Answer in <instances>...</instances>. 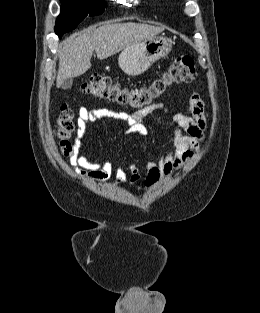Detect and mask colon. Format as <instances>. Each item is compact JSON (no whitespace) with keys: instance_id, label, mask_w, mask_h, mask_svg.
Here are the masks:
<instances>
[{"instance_id":"1","label":"colon","mask_w":260,"mask_h":313,"mask_svg":"<svg viewBox=\"0 0 260 313\" xmlns=\"http://www.w3.org/2000/svg\"><path fill=\"white\" fill-rule=\"evenodd\" d=\"M197 76L194 61L190 56L174 58L169 66L147 84L130 87L114 82L108 76H92L81 86L83 94L106 99L121 106L136 110L151 108L155 101L174 86L189 83ZM75 114L63 104L57 116L54 135L58 139L62 154L68 157L72 146L68 139L74 130Z\"/></svg>"}]
</instances>
